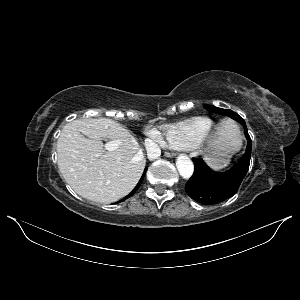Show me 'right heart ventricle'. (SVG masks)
I'll use <instances>...</instances> for the list:
<instances>
[{"label": "right heart ventricle", "instance_id": "obj_1", "mask_svg": "<svg viewBox=\"0 0 300 300\" xmlns=\"http://www.w3.org/2000/svg\"><path fill=\"white\" fill-rule=\"evenodd\" d=\"M213 123L203 117H195L161 127L162 138L175 150H191L199 146L209 135Z\"/></svg>", "mask_w": 300, "mask_h": 300}]
</instances>
